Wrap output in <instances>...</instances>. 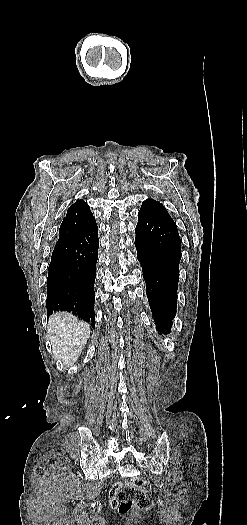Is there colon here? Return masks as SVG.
Instances as JSON below:
<instances>
[{
  "label": "colon",
  "mask_w": 247,
  "mask_h": 525,
  "mask_svg": "<svg viewBox=\"0 0 247 525\" xmlns=\"http://www.w3.org/2000/svg\"><path fill=\"white\" fill-rule=\"evenodd\" d=\"M117 491L119 497L118 510L122 513L128 512L134 504L141 509L150 506L148 496L151 494L152 487L147 481L132 479L125 483V489H117Z\"/></svg>",
  "instance_id": "obj_1"
}]
</instances>
